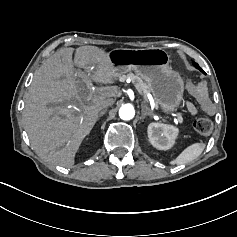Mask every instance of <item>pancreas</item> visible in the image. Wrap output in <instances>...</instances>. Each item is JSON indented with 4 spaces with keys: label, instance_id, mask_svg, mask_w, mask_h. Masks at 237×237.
<instances>
[{
    "label": "pancreas",
    "instance_id": "cf45deb5",
    "mask_svg": "<svg viewBox=\"0 0 237 237\" xmlns=\"http://www.w3.org/2000/svg\"><path fill=\"white\" fill-rule=\"evenodd\" d=\"M126 78H130L131 79V81H132V83L134 84V86L138 89V91L140 90V92L143 94V95H146V93L148 92V90H149V87H148V85L145 83V82H143V80L140 78V77H138V76H136V75H134V74H128V75H126L125 76ZM136 84V85H135Z\"/></svg>",
    "mask_w": 237,
    "mask_h": 237
}]
</instances>
